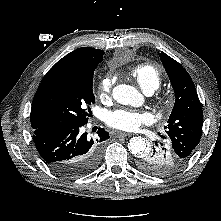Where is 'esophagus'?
<instances>
[{"instance_id":"obj_1","label":"esophagus","mask_w":221,"mask_h":221,"mask_svg":"<svg viewBox=\"0 0 221 221\" xmlns=\"http://www.w3.org/2000/svg\"><path fill=\"white\" fill-rule=\"evenodd\" d=\"M116 137H127V136H131L130 133H125V132H116L115 133Z\"/></svg>"}]
</instances>
